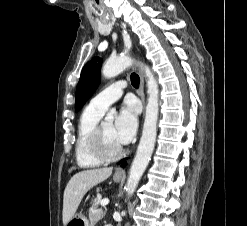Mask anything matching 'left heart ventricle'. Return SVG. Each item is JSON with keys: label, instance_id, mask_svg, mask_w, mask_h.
Instances as JSON below:
<instances>
[{"label": "left heart ventricle", "instance_id": "b2bd125f", "mask_svg": "<svg viewBox=\"0 0 247 226\" xmlns=\"http://www.w3.org/2000/svg\"><path fill=\"white\" fill-rule=\"evenodd\" d=\"M102 135L104 148L107 153L113 154L122 147L114 136V125L111 122L103 124Z\"/></svg>", "mask_w": 247, "mask_h": 226}]
</instances>
